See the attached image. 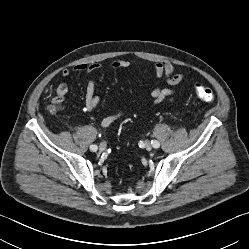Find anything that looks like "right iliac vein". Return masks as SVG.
Here are the masks:
<instances>
[{"instance_id":"1","label":"right iliac vein","mask_w":249,"mask_h":249,"mask_svg":"<svg viewBox=\"0 0 249 249\" xmlns=\"http://www.w3.org/2000/svg\"><path fill=\"white\" fill-rule=\"evenodd\" d=\"M106 148H107V145H106V143H104V142L101 143L100 146H99V150H100V151H105Z\"/></svg>"}]
</instances>
